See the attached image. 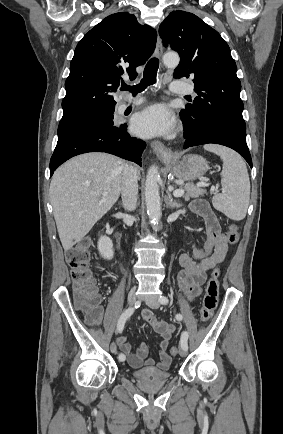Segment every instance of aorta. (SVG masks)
Wrapping results in <instances>:
<instances>
[{
  "label": "aorta",
  "instance_id": "obj_1",
  "mask_svg": "<svg viewBox=\"0 0 283 434\" xmlns=\"http://www.w3.org/2000/svg\"><path fill=\"white\" fill-rule=\"evenodd\" d=\"M180 58L177 53H166L163 56V62L166 66L175 67L179 64ZM160 178L158 167L152 165L146 176L145 182V201L147 214L154 225L155 230L158 229V224L161 217L160 195L158 180Z\"/></svg>",
  "mask_w": 283,
  "mask_h": 434
}]
</instances>
